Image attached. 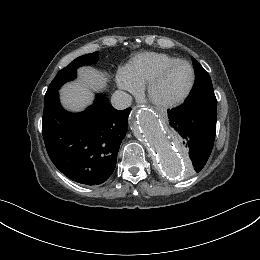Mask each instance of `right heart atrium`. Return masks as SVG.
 Returning a JSON list of instances; mask_svg holds the SVG:
<instances>
[{
	"mask_svg": "<svg viewBox=\"0 0 260 260\" xmlns=\"http://www.w3.org/2000/svg\"><path fill=\"white\" fill-rule=\"evenodd\" d=\"M116 82L120 89L126 91L131 94H137L140 89L141 85L134 83L126 74L125 72L120 71L116 76Z\"/></svg>",
	"mask_w": 260,
	"mask_h": 260,
	"instance_id": "right-heart-atrium-1",
	"label": "right heart atrium"
}]
</instances>
